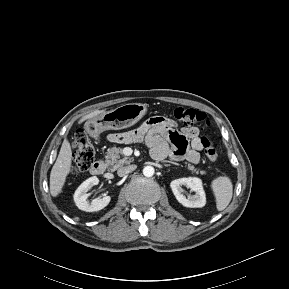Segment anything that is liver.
I'll return each mask as SVG.
<instances>
[{"mask_svg":"<svg viewBox=\"0 0 289 289\" xmlns=\"http://www.w3.org/2000/svg\"><path fill=\"white\" fill-rule=\"evenodd\" d=\"M104 110H95L79 119L78 123L81 124L87 119L94 118L103 114ZM72 167V149L67 138L64 139L57 160L52 167L50 173V193L53 197H57L63 189L68 174L71 172Z\"/></svg>","mask_w":289,"mask_h":289,"instance_id":"obj_1","label":"liver"}]
</instances>
